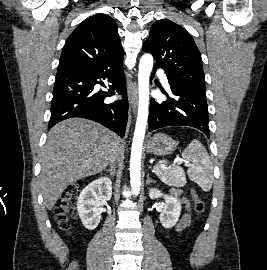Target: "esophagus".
Wrapping results in <instances>:
<instances>
[{
  "label": "esophagus",
  "instance_id": "obj_1",
  "mask_svg": "<svg viewBox=\"0 0 267 270\" xmlns=\"http://www.w3.org/2000/svg\"><path fill=\"white\" fill-rule=\"evenodd\" d=\"M129 101L132 107V111L135 113L137 107V89L135 84L129 87Z\"/></svg>",
  "mask_w": 267,
  "mask_h": 270
}]
</instances>
